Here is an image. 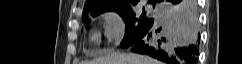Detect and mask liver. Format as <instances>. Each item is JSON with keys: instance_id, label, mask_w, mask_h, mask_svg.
I'll return each mask as SVG.
<instances>
[{"instance_id": "1", "label": "liver", "mask_w": 242, "mask_h": 64, "mask_svg": "<svg viewBox=\"0 0 242 64\" xmlns=\"http://www.w3.org/2000/svg\"><path fill=\"white\" fill-rule=\"evenodd\" d=\"M182 24L190 34L197 35V21L195 22L193 19H183ZM81 64H160V62L147 56L129 53L111 54L92 61H83Z\"/></svg>"}]
</instances>
